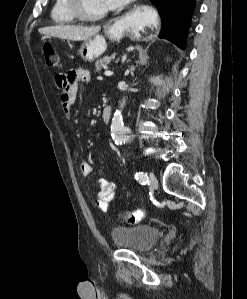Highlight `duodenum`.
Wrapping results in <instances>:
<instances>
[{"mask_svg":"<svg viewBox=\"0 0 247 299\" xmlns=\"http://www.w3.org/2000/svg\"><path fill=\"white\" fill-rule=\"evenodd\" d=\"M112 112H113V110H112L111 106H107L103 109L102 119L104 122L108 123L111 120Z\"/></svg>","mask_w":247,"mask_h":299,"instance_id":"410a0bca","label":"duodenum"}]
</instances>
